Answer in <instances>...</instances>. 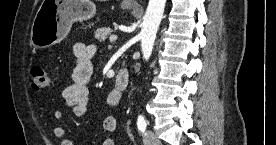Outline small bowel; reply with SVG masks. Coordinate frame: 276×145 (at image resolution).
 <instances>
[{"label": "small bowel", "mask_w": 276, "mask_h": 145, "mask_svg": "<svg viewBox=\"0 0 276 145\" xmlns=\"http://www.w3.org/2000/svg\"><path fill=\"white\" fill-rule=\"evenodd\" d=\"M75 60L72 70V82L62 92L64 107L71 108L76 118H82L88 109L89 89L88 83L92 76V57L94 49L83 44H76L74 47ZM121 99V94L112 89L107 97V104L116 106ZM63 118L61 110L54 112V119L60 122ZM103 127L107 132H114L117 129V119L114 116L105 118ZM54 136L61 140V145H73L72 141L65 138V130L62 126L54 128ZM103 145H114L112 139L104 140Z\"/></svg>", "instance_id": "1"}]
</instances>
